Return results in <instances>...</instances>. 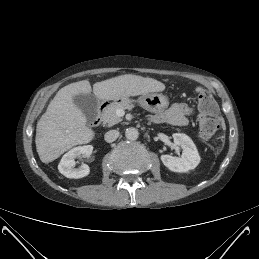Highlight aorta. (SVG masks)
<instances>
[{
  "label": "aorta",
  "instance_id": "aorta-1",
  "mask_svg": "<svg viewBox=\"0 0 259 259\" xmlns=\"http://www.w3.org/2000/svg\"><path fill=\"white\" fill-rule=\"evenodd\" d=\"M125 136L128 140H136L139 137V132L136 128L130 127L126 129Z\"/></svg>",
  "mask_w": 259,
  "mask_h": 259
}]
</instances>
